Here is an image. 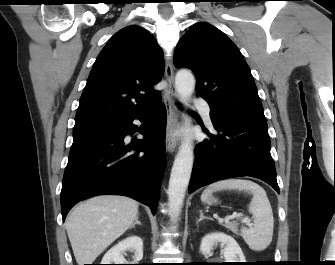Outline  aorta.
Masks as SVG:
<instances>
[{"mask_svg":"<svg viewBox=\"0 0 335 265\" xmlns=\"http://www.w3.org/2000/svg\"><path fill=\"white\" fill-rule=\"evenodd\" d=\"M175 87L183 103L192 95L195 88V78L188 70H180L175 77ZM190 125L189 121H186ZM194 152L190 129L185 131L184 138L175 157L168 186V202L173 223L177 222L183 205L185 193L193 168Z\"/></svg>","mask_w":335,"mask_h":265,"instance_id":"obj_1","label":"aorta"}]
</instances>
